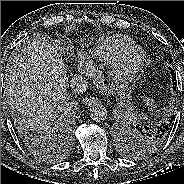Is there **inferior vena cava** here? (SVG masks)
Segmentation results:
<instances>
[{"label":"inferior vena cava","instance_id":"1","mask_svg":"<svg viewBox=\"0 0 184 184\" xmlns=\"http://www.w3.org/2000/svg\"><path fill=\"white\" fill-rule=\"evenodd\" d=\"M87 86V79L81 75H74L70 80V87L74 93H82L86 90Z\"/></svg>","mask_w":184,"mask_h":184}]
</instances>
